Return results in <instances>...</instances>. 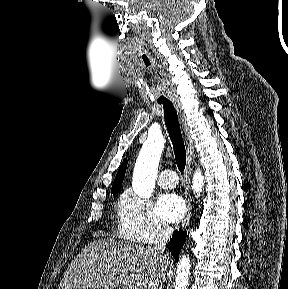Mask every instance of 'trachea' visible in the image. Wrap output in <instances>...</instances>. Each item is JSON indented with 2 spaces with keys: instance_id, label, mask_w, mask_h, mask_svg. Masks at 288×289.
I'll return each instance as SVG.
<instances>
[{
  "instance_id": "trachea-1",
  "label": "trachea",
  "mask_w": 288,
  "mask_h": 289,
  "mask_svg": "<svg viewBox=\"0 0 288 289\" xmlns=\"http://www.w3.org/2000/svg\"><path fill=\"white\" fill-rule=\"evenodd\" d=\"M142 60L147 68L151 67V61L147 55H142ZM162 75L160 72L155 71V82L153 87L154 97L159 104H162L164 109L165 124L169 133V137L173 144L175 160L179 171L183 172L186 165V150L184 141L181 134L180 124L177 112L173 104L167 100V90L162 83Z\"/></svg>"
}]
</instances>
